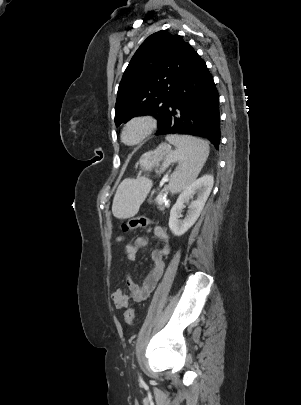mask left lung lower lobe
<instances>
[{"label":"left lung lower lobe","mask_w":301,"mask_h":405,"mask_svg":"<svg viewBox=\"0 0 301 405\" xmlns=\"http://www.w3.org/2000/svg\"><path fill=\"white\" fill-rule=\"evenodd\" d=\"M157 135H192L220 146L219 95L205 61L195 51Z\"/></svg>","instance_id":"left-lung-lower-lobe-1"}]
</instances>
